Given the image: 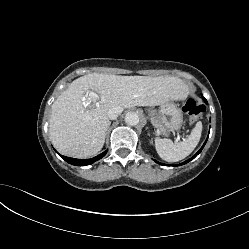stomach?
I'll return each mask as SVG.
<instances>
[{
	"mask_svg": "<svg viewBox=\"0 0 249 249\" xmlns=\"http://www.w3.org/2000/svg\"><path fill=\"white\" fill-rule=\"evenodd\" d=\"M149 117L157 134L164 136L179 130L183 123L182 112L170 101L161 104L158 110H151Z\"/></svg>",
	"mask_w": 249,
	"mask_h": 249,
	"instance_id": "obj_1",
	"label": "stomach"
}]
</instances>
